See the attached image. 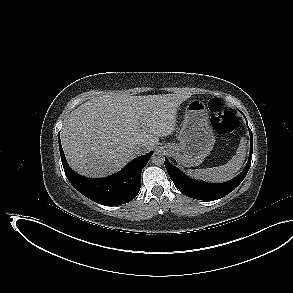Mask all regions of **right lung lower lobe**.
I'll return each mask as SVG.
<instances>
[{
	"label": "right lung lower lobe",
	"mask_w": 293,
	"mask_h": 293,
	"mask_svg": "<svg viewBox=\"0 0 293 293\" xmlns=\"http://www.w3.org/2000/svg\"><path fill=\"white\" fill-rule=\"evenodd\" d=\"M59 148L64 172L70 183L90 200L107 206L125 204L137 196L141 187V171L152 156V152L140 156L112 176L91 179L76 174L68 166L60 140Z\"/></svg>",
	"instance_id": "98d812e1"
}]
</instances>
